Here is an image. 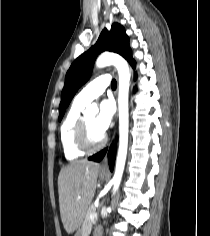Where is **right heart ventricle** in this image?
I'll list each match as a JSON object with an SVG mask.
<instances>
[{
	"instance_id": "obj_1",
	"label": "right heart ventricle",
	"mask_w": 210,
	"mask_h": 236,
	"mask_svg": "<svg viewBox=\"0 0 210 236\" xmlns=\"http://www.w3.org/2000/svg\"><path fill=\"white\" fill-rule=\"evenodd\" d=\"M84 104L73 101L60 129L62 151L67 160H76L85 155V151L76 145L75 136L78 123L82 117Z\"/></svg>"
}]
</instances>
